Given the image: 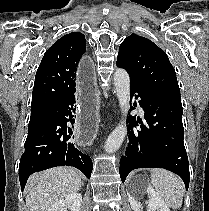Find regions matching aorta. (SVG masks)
Listing matches in <instances>:
<instances>
[{
	"instance_id": "762f6f07",
	"label": "aorta",
	"mask_w": 209,
	"mask_h": 211,
	"mask_svg": "<svg viewBox=\"0 0 209 211\" xmlns=\"http://www.w3.org/2000/svg\"><path fill=\"white\" fill-rule=\"evenodd\" d=\"M114 85L116 95L119 101V106L123 115L126 117L130 105V78L127 71L122 68L116 69L114 73ZM127 134L126 120H122L118 126L112 131L105 143V151L113 153L122 145Z\"/></svg>"
}]
</instances>
